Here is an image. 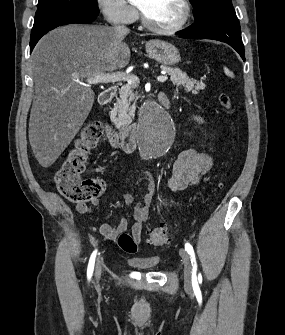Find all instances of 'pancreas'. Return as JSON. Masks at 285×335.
Wrapping results in <instances>:
<instances>
[{
    "instance_id": "cf45deb5",
    "label": "pancreas",
    "mask_w": 285,
    "mask_h": 335,
    "mask_svg": "<svg viewBox=\"0 0 285 335\" xmlns=\"http://www.w3.org/2000/svg\"><path fill=\"white\" fill-rule=\"evenodd\" d=\"M161 70L168 72L171 76L170 80L174 86H183L186 92H192V94H199V90H204L206 88L203 82H197L193 78H189L186 72H182L179 68H167V66H161ZM119 94L120 98L117 100L116 105H112L111 110L108 114L111 122L114 125H129L134 117H131L134 114L136 108L135 106H130L133 100H136L137 94H134L132 86H122Z\"/></svg>"
}]
</instances>
